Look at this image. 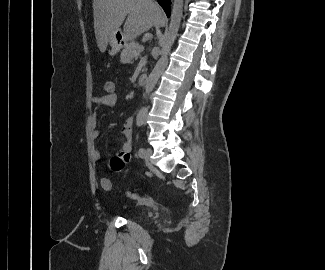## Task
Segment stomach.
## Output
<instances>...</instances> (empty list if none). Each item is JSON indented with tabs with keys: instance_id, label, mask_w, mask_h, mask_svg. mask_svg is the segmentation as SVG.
I'll return each instance as SVG.
<instances>
[{
	"instance_id": "1",
	"label": "stomach",
	"mask_w": 325,
	"mask_h": 270,
	"mask_svg": "<svg viewBox=\"0 0 325 270\" xmlns=\"http://www.w3.org/2000/svg\"><path fill=\"white\" fill-rule=\"evenodd\" d=\"M128 40L125 38L123 32L117 31L115 35L110 39L111 50L110 55H115L126 44Z\"/></svg>"
}]
</instances>
